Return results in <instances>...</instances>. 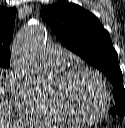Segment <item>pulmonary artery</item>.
Listing matches in <instances>:
<instances>
[{
    "mask_svg": "<svg viewBox=\"0 0 125 128\" xmlns=\"http://www.w3.org/2000/svg\"><path fill=\"white\" fill-rule=\"evenodd\" d=\"M67 51L56 45L47 46L44 52L46 61L54 68L61 69L65 64Z\"/></svg>",
    "mask_w": 125,
    "mask_h": 128,
    "instance_id": "e3ab8cb5",
    "label": "pulmonary artery"
}]
</instances>
